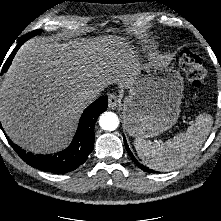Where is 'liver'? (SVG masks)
Returning a JSON list of instances; mask_svg holds the SVG:
<instances>
[{
    "instance_id": "1",
    "label": "liver",
    "mask_w": 221,
    "mask_h": 221,
    "mask_svg": "<svg viewBox=\"0 0 221 221\" xmlns=\"http://www.w3.org/2000/svg\"><path fill=\"white\" fill-rule=\"evenodd\" d=\"M106 40L105 46L121 45L119 37ZM101 51L47 38L26 42L0 85V121L9 138L36 153L62 148L85 107L79 93L99 92L111 83L131 84L136 72L118 66L104 70L106 52Z\"/></svg>"
}]
</instances>
